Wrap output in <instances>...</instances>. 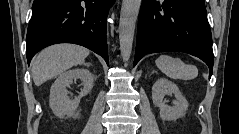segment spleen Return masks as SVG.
Returning a JSON list of instances; mask_svg holds the SVG:
<instances>
[{"mask_svg":"<svg viewBox=\"0 0 239 134\" xmlns=\"http://www.w3.org/2000/svg\"><path fill=\"white\" fill-rule=\"evenodd\" d=\"M156 66L167 77L172 79L192 80L198 76V69L194 65L185 64L179 58H173L169 55H161L156 60Z\"/></svg>","mask_w":239,"mask_h":134,"instance_id":"1","label":"spleen"}]
</instances>
